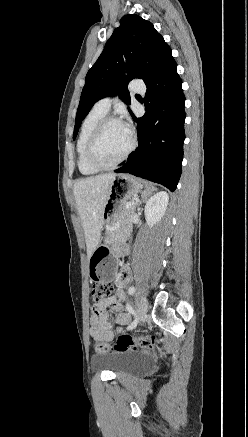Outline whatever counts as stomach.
<instances>
[{"label":"stomach","mask_w":248,"mask_h":437,"mask_svg":"<svg viewBox=\"0 0 248 437\" xmlns=\"http://www.w3.org/2000/svg\"><path fill=\"white\" fill-rule=\"evenodd\" d=\"M140 180L129 174H119L111 182L110 191L104 207L103 223L109 227L117 225L122 205L139 193L143 197L150 194L149 190L142 191ZM113 232L107 230L105 243L97 246L89 258L86 270L89 279H93V286H112L117 268V256L113 255Z\"/></svg>","instance_id":"0dacf381"}]
</instances>
